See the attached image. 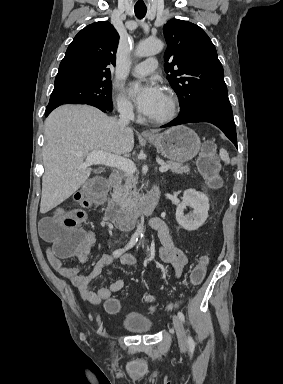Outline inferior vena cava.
Returning a JSON list of instances; mask_svg holds the SVG:
<instances>
[{
    "label": "inferior vena cava",
    "mask_w": 283,
    "mask_h": 384,
    "mask_svg": "<svg viewBox=\"0 0 283 384\" xmlns=\"http://www.w3.org/2000/svg\"><path fill=\"white\" fill-rule=\"evenodd\" d=\"M118 112L120 114L118 126L121 130H125L130 120H134L132 104H118Z\"/></svg>",
    "instance_id": "obj_1"
}]
</instances>
